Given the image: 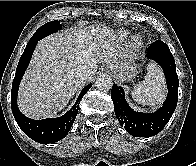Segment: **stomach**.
<instances>
[{
  "mask_svg": "<svg viewBox=\"0 0 196 166\" xmlns=\"http://www.w3.org/2000/svg\"><path fill=\"white\" fill-rule=\"evenodd\" d=\"M113 72L123 78H132L136 75L135 67L132 63L126 60H121L118 62L117 66L112 69Z\"/></svg>",
  "mask_w": 196,
  "mask_h": 166,
  "instance_id": "0dacf381",
  "label": "stomach"
}]
</instances>
